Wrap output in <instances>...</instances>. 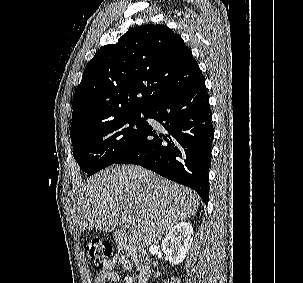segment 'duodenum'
Wrapping results in <instances>:
<instances>
[{
  "instance_id": "1",
  "label": "duodenum",
  "mask_w": 303,
  "mask_h": 283,
  "mask_svg": "<svg viewBox=\"0 0 303 283\" xmlns=\"http://www.w3.org/2000/svg\"><path fill=\"white\" fill-rule=\"evenodd\" d=\"M116 238H117L119 246L121 248H123L124 250L129 251L131 257L137 264L138 271H139V275H138L139 283H146V280L148 278V275L150 273V268H151V260H150L149 255L141 249L130 247L127 242L126 233L118 231L116 234Z\"/></svg>"
}]
</instances>
